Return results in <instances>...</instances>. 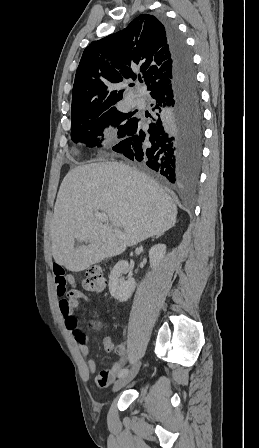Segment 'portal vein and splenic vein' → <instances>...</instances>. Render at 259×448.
I'll list each match as a JSON object with an SVG mask.
<instances>
[{
	"label": "portal vein and splenic vein",
	"instance_id": "1",
	"mask_svg": "<svg viewBox=\"0 0 259 448\" xmlns=\"http://www.w3.org/2000/svg\"><path fill=\"white\" fill-rule=\"evenodd\" d=\"M95 218H98L100 222H108L109 216H107V214H100V212H95ZM116 234H120V232H116Z\"/></svg>",
	"mask_w": 259,
	"mask_h": 448
}]
</instances>
